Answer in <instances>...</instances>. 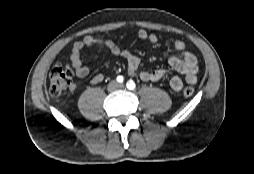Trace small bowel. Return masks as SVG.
Returning a JSON list of instances; mask_svg holds the SVG:
<instances>
[{"label": "small bowel", "mask_w": 254, "mask_h": 174, "mask_svg": "<svg viewBox=\"0 0 254 174\" xmlns=\"http://www.w3.org/2000/svg\"><path fill=\"white\" fill-rule=\"evenodd\" d=\"M137 37L150 44H156L158 42L156 35L149 34L144 29H140L137 32ZM85 47H103L110 50L114 55L120 56L126 60L127 71L130 75L138 74V67L141 62L138 56L134 55L127 49L120 48L111 40L87 35L73 43L69 58L70 65L74 69L77 77L86 78L90 72L89 68L84 64V57L82 55V50ZM173 47L175 53H172L169 56L168 62L172 69L184 75V80L178 76H173L170 80V87L174 91H180L183 88L184 83L194 85L197 82L199 67L195 55L187 50V46L183 41L176 40ZM167 74H169L168 70L160 68L153 71H142L138 75L141 81L152 83L162 80ZM103 80V75L98 74L91 79V83L97 85L102 83ZM77 88L78 84L72 82L70 89L75 91Z\"/></svg>", "instance_id": "c3829d8e"}]
</instances>
